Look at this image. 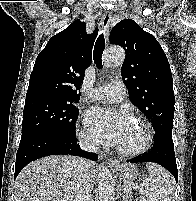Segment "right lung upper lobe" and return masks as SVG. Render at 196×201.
Masks as SVG:
<instances>
[{
  "label": "right lung upper lobe",
  "instance_id": "1",
  "mask_svg": "<svg viewBox=\"0 0 196 201\" xmlns=\"http://www.w3.org/2000/svg\"><path fill=\"white\" fill-rule=\"evenodd\" d=\"M79 19L53 36L39 53L26 94V100L53 98L77 100L85 69L91 64L92 47L98 29L86 34Z\"/></svg>",
  "mask_w": 196,
  "mask_h": 201
}]
</instances>
